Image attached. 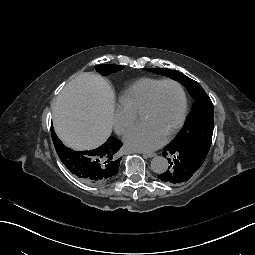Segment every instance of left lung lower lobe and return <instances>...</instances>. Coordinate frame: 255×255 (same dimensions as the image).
Returning <instances> with one entry per match:
<instances>
[{
	"mask_svg": "<svg viewBox=\"0 0 255 255\" xmlns=\"http://www.w3.org/2000/svg\"><path fill=\"white\" fill-rule=\"evenodd\" d=\"M162 155L167 160L168 171L160 174L158 179L167 184H180L185 183L190 179L195 171L200 173V166L194 156L185 152L180 148L166 147L162 151Z\"/></svg>",
	"mask_w": 255,
	"mask_h": 255,
	"instance_id": "0a47b994",
	"label": "left lung lower lobe"
}]
</instances>
